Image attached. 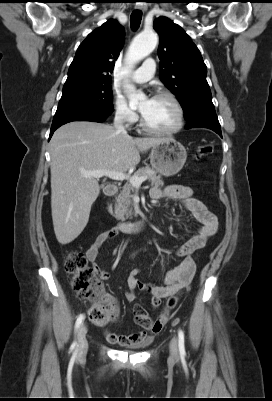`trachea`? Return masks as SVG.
<instances>
[{"label": "trachea", "mask_w": 272, "mask_h": 401, "mask_svg": "<svg viewBox=\"0 0 272 401\" xmlns=\"http://www.w3.org/2000/svg\"><path fill=\"white\" fill-rule=\"evenodd\" d=\"M142 12L140 10H134L130 16V24L133 30H137L141 24Z\"/></svg>", "instance_id": "trachea-1"}]
</instances>
